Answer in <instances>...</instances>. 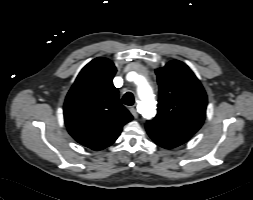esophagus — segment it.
<instances>
[{
  "label": "esophagus",
  "instance_id": "esophagus-1",
  "mask_svg": "<svg viewBox=\"0 0 253 200\" xmlns=\"http://www.w3.org/2000/svg\"><path fill=\"white\" fill-rule=\"evenodd\" d=\"M130 112H131V114L133 115L134 118H138L139 114H138L135 107H131Z\"/></svg>",
  "mask_w": 253,
  "mask_h": 200
}]
</instances>
